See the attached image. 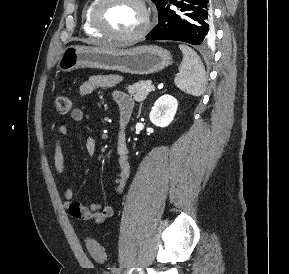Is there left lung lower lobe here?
<instances>
[{
    "mask_svg": "<svg viewBox=\"0 0 289 274\" xmlns=\"http://www.w3.org/2000/svg\"><path fill=\"white\" fill-rule=\"evenodd\" d=\"M168 2L180 8L176 14ZM158 25L147 40H176L193 45H205L214 37L212 9L209 0H167L158 11Z\"/></svg>",
    "mask_w": 289,
    "mask_h": 274,
    "instance_id": "left-lung-lower-lobe-1",
    "label": "left lung lower lobe"
}]
</instances>
